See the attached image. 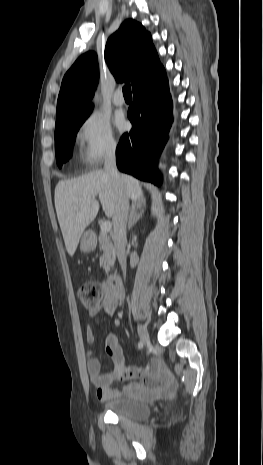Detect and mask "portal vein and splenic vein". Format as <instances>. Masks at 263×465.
I'll return each mask as SVG.
<instances>
[{
    "label": "portal vein and splenic vein",
    "mask_w": 263,
    "mask_h": 465,
    "mask_svg": "<svg viewBox=\"0 0 263 465\" xmlns=\"http://www.w3.org/2000/svg\"><path fill=\"white\" fill-rule=\"evenodd\" d=\"M112 228V224L110 221H105L101 224V231L102 232H109Z\"/></svg>",
    "instance_id": "obj_1"
}]
</instances>
